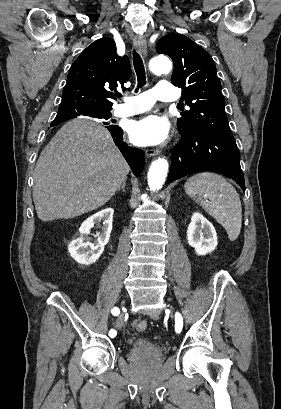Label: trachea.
Listing matches in <instances>:
<instances>
[{"label": "trachea", "instance_id": "trachea-1", "mask_svg": "<svg viewBox=\"0 0 281 409\" xmlns=\"http://www.w3.org/2000/svg\"><path fill=\"white\" fill-rule=\"evenodd\" d=\"M133 65L134 69L137 75V81H138V89L139 87H143L146 84V73H145V68L144 64L142 61L141 56L136 52V50H133ZM116 97L121 98L122 95L119 93L116 95Z\"/></svg>", "mask_w": 281, "mask_h": 409}]
</instances>
